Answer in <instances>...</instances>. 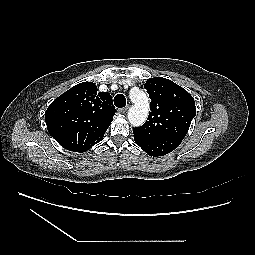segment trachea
I'll return each mask as SVG.
<instances>
[{
  "mask_svg": "<svg viewBox=\"0 0 255 255\" xmlns=\"http://www.w3.org/2000/svg\"><path fill=\"white\" fill-rule=\"evenodd\" d=\"M114 104L118 108H123L126 105V98L123 94H117L114 97Z\"/></svg>",
  "mask_w": 255,
  "mask_h": 255,
  "instance_id": "obj_1",
  "label": "trachea"
}]
</instances>
